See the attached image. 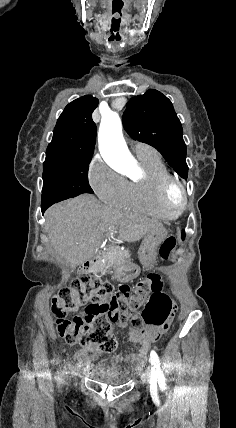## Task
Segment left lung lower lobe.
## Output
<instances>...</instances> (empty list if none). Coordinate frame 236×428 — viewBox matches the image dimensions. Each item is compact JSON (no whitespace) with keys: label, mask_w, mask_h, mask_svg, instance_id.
I'll return each mask as SVG.
<instances>
[{"label":"left lung lower lobe","mask_w":236,"mask_h":428,"mask_svg":"<svg viewBox=\"0 0 236 428\" xmlns=\"http://www.w3.org/2000/svg\"><path fill=\"white\" fill-rule=\"evenodd\" d=\"M184 237H185V233H184V231L182 232V238L184 239Z\"/></svg>","instance_id":"obj_1"}]
</instances>
